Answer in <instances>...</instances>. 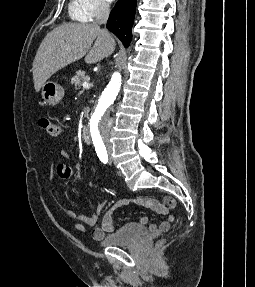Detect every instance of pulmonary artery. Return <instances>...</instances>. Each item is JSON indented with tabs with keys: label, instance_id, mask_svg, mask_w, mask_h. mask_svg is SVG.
Returning a JSON list of instances; mask_svg holds the SVG:
<instances>
[{
	"label": "pulmonary artery",
	"instance_id": "1",
	"mask_svg": "<svg viewBox=\"0 0 255 287\" xmlns=\"http://www.w3.org/2000/svg\"><path fill=\"white\" fill-rule=\"evenodd\" d=\"M107 39H113V38H107ZM103 48H108V47H103Z\"/></svg>",
	"mask_w": 255,
	"mask_h": 287
}]
</instances>
